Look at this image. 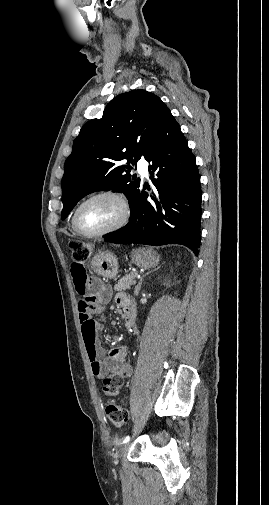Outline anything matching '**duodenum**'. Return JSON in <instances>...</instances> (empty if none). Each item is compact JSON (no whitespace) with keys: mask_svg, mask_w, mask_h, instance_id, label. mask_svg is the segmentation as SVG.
I'll use <instances>...</instances> for the list:
<instances>
[{"mask_svg":"<svg viewBox=\"0 0 269 505\" xmlns=\"http://www.w3.org/2000/svg\"><path fill=\"white\" fill-rule=\"evenodd\" d=\"M123 310L125 315L126 326L129 329H132L135 325L136 320L134 308L131 304H125Z\"/></svg>","mask_w":269,"mask_h":505,"instance_id":"obj_1","label":"duodenum"}]
</instances>
